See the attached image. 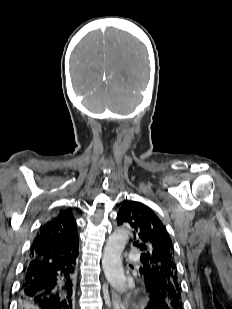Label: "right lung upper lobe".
I'll use <instances>...</instances> for the list:
<instances>
[{"mask_svg":"<svg viewBox=\"0 0 232 309\" xmlns=\"http://www.w3.org/2000/svg\"><path fill=\"white\" fill-rule=\"evenodd\" d=\"M78 243L71 210H63L40 227L30 248L29 261L40 267L55 259H70L78 255Z\"/></svg>","mask_w":232,"mask_h":309,"instance_id":"cb5924a9","label":"right lung upper lobe"}]
</instances>
